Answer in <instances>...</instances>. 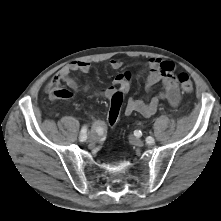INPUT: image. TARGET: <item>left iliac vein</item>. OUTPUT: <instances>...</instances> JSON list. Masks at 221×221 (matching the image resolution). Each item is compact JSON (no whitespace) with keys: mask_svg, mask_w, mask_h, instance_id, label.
<instances>
[{"mask_svg":"<svg viewBox=\"0 0 221 221\" xmlns=\"http://www.w3.org/2000/svg\"><path fill=\"white\" fill-rule=\"evenodd\" d=\"M130 141L133 145L138 146V147H142L144 145L143 140H141L140 138H137V137H131ZM154 142H155V140L153 139L152 144H154ZM152 144H150V145H152Z\"/></svg>","mask_w":221,"mask_h":221,"instance_id":"4c4485c4","label":"left iliac vein"}]
</instances>
